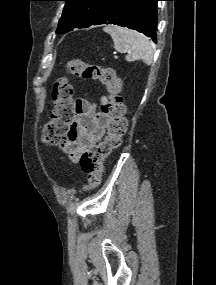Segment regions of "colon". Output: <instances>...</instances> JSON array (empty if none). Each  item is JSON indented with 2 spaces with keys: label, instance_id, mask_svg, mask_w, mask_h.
Segmentation results:
<instances>
[{
  "label": "colon",
  "instance_id": "1",
  "mask_svg": "<svg viewBox=\"0 0 216 285\" xmlns=\"http://www.w3.org/2000/svg\"><path fill=\"white\" fill-rule=\"evenodd\" d=\"M66 71L76 77L99 81L108 93L106 101L101 104V112L108 118L107 133L103 140L90 147L80 157L81 168L87 175L84 190L89 191L101 183L104 160L120 146L127 129L125 105L121 95L122 81L112 68L89 64L81 59L70 60L66 64ZM52 100L50 120L41 130L43 141L51 145L57 144L69 133L77 114L73 88L65 77L54 82Z\"/></svg>",
  "mask_w": 216,
  "mask_h": 285
}]
</instances>
